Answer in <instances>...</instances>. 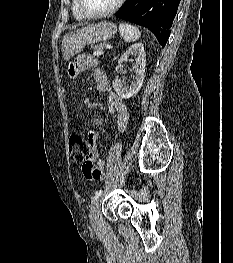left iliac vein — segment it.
Returning a JSON list of instances; mask_svg holds the SVG:
<instances>
[{"instance_id":"obj_1","label":"left iliac vein","mask_w":233,"mask_h":263,"mask_svg":"<svg viewBox=\"0 0 233 263\" xmlns=\"http://www.w3.org/2000/svg\"><path fill=\"white\" fill-rule=\"evenodd\" d=\"M100 201L96 200L91 208L90 217L92 220V224L95 228H99L100 226Z\"/></svg>"}]
</instances>
